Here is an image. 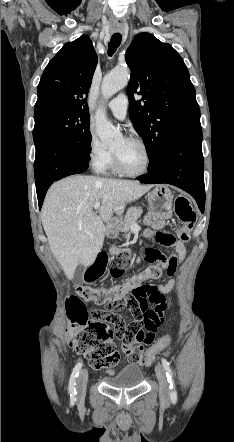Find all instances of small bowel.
Returning <instances> with one entry per match:
<instances>
[{"label": "small bowel", "instance_id": "1", "mask_svg": "<svg viewBox=\"0 0 234 442\" xmlns=\"http://www.w3.org/2000/svg\"><path fill=\"white\" fill-rule=\"evenodd\" d=\"M145 223L151 226L150 229L144 232L145 237L156 238L158 235H170V233L163 228L165 222L157 219L154 213L147 215ZM171 246L174 248L173 254L170 256L160 254L157 259V264H159L169 276L174 275L177 266L183 261L186 255V247L183 242L175 240ZM174 284L175 281L171 278L167 283L154 287L164 295L171 292ZM123 285L126 291H131L143 284L142 282H134L132 279H129L123 283ZM99 311L100 314H94L92 319L87 320V327L94 328L95 331L110 333L111 327L109 323H112L114 333L117 334L120 343L123 344L124 353L130 360L134 361L130 364V367L132 369H138L139 365H144V345L153 342L156 328L164 327L167 321L166 314H136L131 322H124L121 315L115 314L110 310Z\"/></svg>", "mask_w": 234, "mask_h": 442}]
</instances>
